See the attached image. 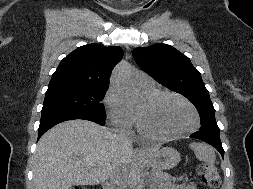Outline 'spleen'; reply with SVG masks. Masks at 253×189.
Wrapping results in <instances>:
<instances>
[{
  "label": "spleen",
  "instance_id": "spleen-1",
  "mask_svg": "<svg viewBox=\"0 0 253 189\" xmlns=\"http://www.w3.org/2000/svg\"><path fill=\"white\" fill-rule=\"evenodd\" d=\"M190 148L194 151L198 160L210 164L215 162L216 156L212 146L204 143L192 142Z\"/></svg>",
  "mask_w": 253,
  "mask_h": 189
}]
</instances>
